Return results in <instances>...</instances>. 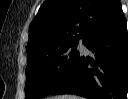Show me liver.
I'll list each match as a JSON object with an SVG mask.
<instances>
[{
    "instance_id": "obj_1",
    "label": "liver",
    "mask_w": 128,
    "mask_h": 99,
    "mask_svg": "<svg viewBox=\"0 0 128 99\" xmlns=\"http://www.w3.org/2000/svg\"><path fill=\"white\" fill-rule=\"evenodd\" d=\"M52 99H82V98L74 95H62V96L54 97Z\"/></svg>"
}]
</instances>
